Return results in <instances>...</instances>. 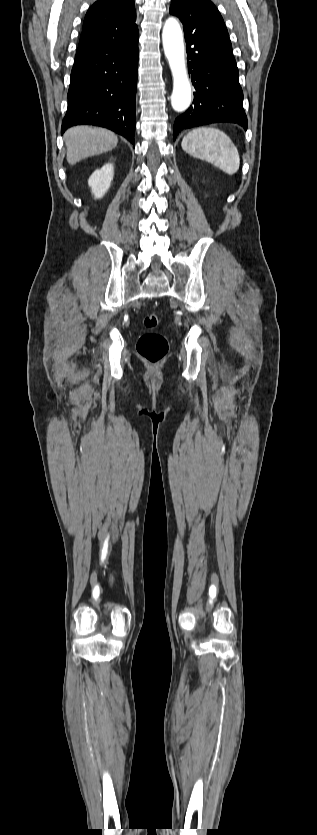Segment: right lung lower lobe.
I'll return each instance as SVG.
<instances>
[{
	"instance_id": "obj_1",
	"label": "right lung lower lobe",
	"mask_w": 317,
	"mask_h": 835,
	"mask_svg": "<svg viewBox=\"0 0 317 835\" xmlns=\"http://www.w3.org/2000/svg\"><path fill=\"white\" fill-rule=\"evenodd\" d=\"M137 72L138 36L111 47H79L61 133L76 125H95L134 145Z\"/></svg>"
}]
</instances>
